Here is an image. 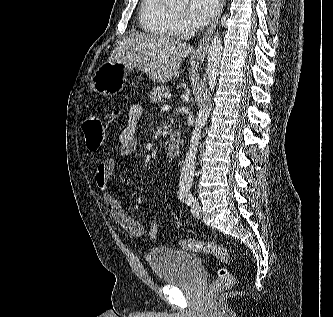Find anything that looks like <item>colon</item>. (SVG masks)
Here are the masks:
<instances>
[{"label": "colon", "instance_id": "1", "mask_svg": "<svg viewBox=\"0 0 333 317\" xmlns=\"http://www.w3.org/2000/svg\"><path fill=\"white\" fill-rule=\"evenodd\" d=\"M82 130L85 136L86 145L91 150H98L106 143V131L100 116L97 114H89L82 123ZM158 233V223L153 220L149 226V235L151 239H155ZM180 246L183 249L210 253L215 256L221 263L218 271V278L213 286V290H224L230 288L234 283V276L230 270L229 252L221 245L196 240H182Z\"/></svg>", "mask_w": 333, "mask_h": 317}]
</instances>
